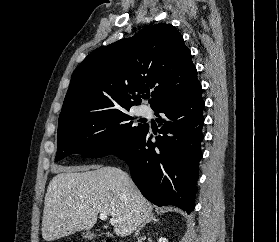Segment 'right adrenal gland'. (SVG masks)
<instances>
[{
  "label": "right adrenal gland",
  "mask_w": 279,
  "mask_h": 242,
  "mask_svg": "<svg viewBox=\"0 0 279 242\" xmlns=\"http://www.w3.org/2000/svg\"><path fill=\"white\" fill-rule=\"evenodd\" d=\"M153 221L154 223L159 222V219L156 218V216L154 214H151L150 217H148V219H146L144 221V223L136 230L135 235H139L140 230L143 229L145 227V225L149 222Z\"/></svg>",
  "instance_id": "right-adrenal-gland-1"
}]
</instances>
